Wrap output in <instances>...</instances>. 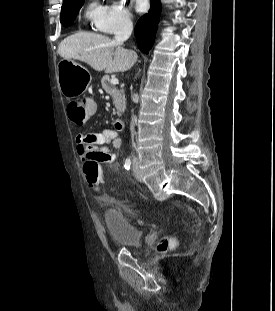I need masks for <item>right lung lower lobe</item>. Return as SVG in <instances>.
Segmentation results:
<instances>
[{
	"label": "right lung lower lobe",
	"instance_id": "obj_1",
	"mask_svg": "<svg viewBox=\"0 0 275 311\" xmlns=\"http://www.w3.org/2000/svg\"><path fill=\"white\" fill-rule=\"evenodd\" d=\"M150 1L151 8L149 12L138 20L135 27L138 47L145 54L149 52L154 43L161 11L160 0Z\"/></svg>",
	"mask_w": 275,
	"mask_h": 311
}]
</instances>
